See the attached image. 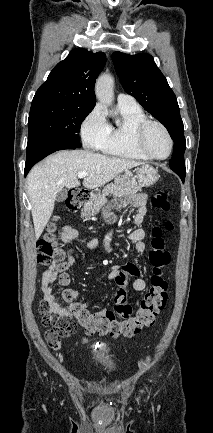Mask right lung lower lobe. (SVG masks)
Wrapping results in <instances>:
<instances>
[{"label": "right lung lower lobe", "mask_w": 213, "mask_h": 433, "mask_svg": "<svg viewBox=\"0 0 213 433\" xmlns=\"http://www.w3.org/2000/svg\"><path fill=\"white\" fill-rule=\"evenodd\" d=\"M76 146L57 138L41 136L28 140L25 176L29 170L41 159L49 154L64 149H75Z\"/></svg>", "instance_id": "right-lung-lower-lobe-1"}]
</instances>
